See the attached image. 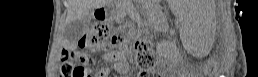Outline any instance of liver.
Here are the masks:
<instances>
[{"label": "liver", "instance_id": "obj_1", "mask_svg": "<svg viewBox=\"0 0 258 77\" xmlns=\"http://www.w3.org/2000/svg\"><path fill=\"white\" fill-rule=\"evenodd\" d=\"M108 0H67V18L69 24L89 16L93 9L105 6Z\"/></svg>", "mask_w": 258, "mask_h": 77}]
</instances>
